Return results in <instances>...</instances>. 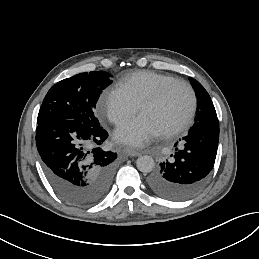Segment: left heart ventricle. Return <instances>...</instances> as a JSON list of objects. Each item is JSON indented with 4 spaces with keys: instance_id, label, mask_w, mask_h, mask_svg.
Returning a JSON list of instances; mask_svg holds the SVG:
<instances>
[{
    "instance_id": "b2bd125f",
    "label": "left heart ventricle",
    "mask_w": 259,
    "mask_h": 259,
    "mask_svg": "<svg viewBox=\"0 0 259 259\" xmlns=\"http://www.w3.org/2000/svg\"><path fill=\"white\" fill-rule=\"evenodd\" d=\"M190 106L189 91L180 84L172 86L156 105L139 113L151 126L163 133L173 128L187 114Z\"/></svg>"
}]
</instances>
